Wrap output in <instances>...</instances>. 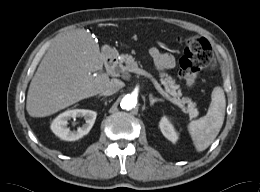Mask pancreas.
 Segmentation results:
<instances>
[{
  "instance_id": "pancreas-1",
  "label": "pancreas",
  "mask_w": 260,
  "mask_h": 192,
  "mask_svg": "<svg viewBox=\"0 0 260 192\" xmlns=\"http://www.w3.org/2000/svg\"><path fill=\"white\" fill-rule=\"evenodd\" d=\"M134 65H137V61L135 58L129 54H122L120 56L119 60V72L122 74L124 78L129 77L128 69ZM160 82L165 88V92L168 95H171L172 98L179 102L182 105V108L185 112L189 113L190 118H195L198 115V111L195 108V103L191 101L189 98H182L181 96V90L179 85L175 83V80L172 78L171 75H168L165 72H159ZM184 104H188V106L185 108Z\"/></svg>"
}]
</instances>
